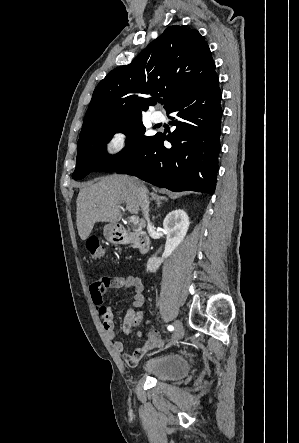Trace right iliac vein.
<instances>
[{"label": "right iliac vein", "mask_w": 299, "mask_h": 443, "mask_svg": "<svg viewBox=\"0 0 299 443\" xmlns=\"http://www.w3.org/2000/svg\"><path fill=\"white\" fill-rule=\"evenodd\" d=\"M174 326H175V330H174L170 345H175L181 339V337L183 335V326H182L181 322L176 321Z\"/></svg>", "instance_id": "right-iliac-vein-1"}]
</instances>
